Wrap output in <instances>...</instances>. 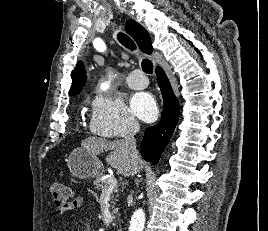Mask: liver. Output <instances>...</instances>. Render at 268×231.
Wrapping results in <instances>:
<instances>
[{
  "label": "liver",
  "instance_id": "obj_1",
  "mask_svg": "<svg viewBox=\"0 0 268 231\" xmlns=\"http://www.w3.org/2000/svg\"><path fill=\"white\" fill-rule=\"evenodd\" d=\"M81 146L94 155L109 151L106 162L125 177L136 174L142 168V160L132 162L123 140L108 141L102 138L89 137L82 141Z\"/></svg>",
  "mask_w": 268,
  "mask_h": 231
}]
</instances>
